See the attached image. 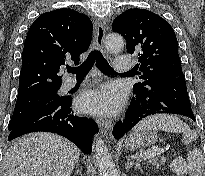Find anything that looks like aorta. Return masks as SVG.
I'll list each match as a JSON object with an SVG mask.
<instances>
[{
	"instance_id": "1",
	"label": "aorta",
	"mask_w": 205,
	"mask_h": 176,
	"mask_svg": "<svg viewBox=\"0 0 205 176\" xmlns=\"http://www.w3.org/2000/svg\"><path fill=\"white\" fill-rule=\"evenodd\" d=\"M105 47L111 53H118L124 47V39L119 34L110 33L105 38ZM95 158L100 176H117L115 164L101 137L96 138Z\"/></svg>"
}]
</instances>
